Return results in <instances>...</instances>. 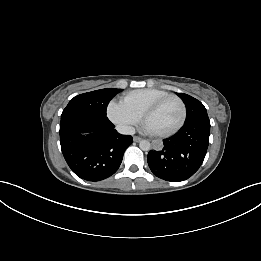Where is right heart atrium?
<instances>
[{"label":"right heart atrium","instance_id":"d8ad5b80","mask_svg":"<svg viewBox=\"0 0 261 261\" xmlns=\"http://www.w3.org/2000/svg\"><path fill=\"white\" fill-rule=\"evenodd\" d=\"M108 118L125 132H131L140 117L127 108L122 101H111L107 107Z\"/></svg>","mask_w":261,"mask_h":261}]
</instances>
